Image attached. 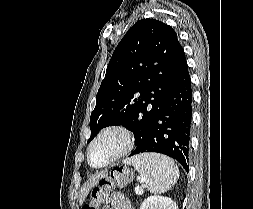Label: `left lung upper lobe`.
Wrapping results in <instances>:
<instances>
[{
    "instance_id": "left-lung-upper-lobe-1",
    "label": "left lung upper lobe",
    "mask_w": 253,
    "mask_h": 209,
    "mask_svg": "<svg viewBox=\"0 0 253 209\" xmlns=\"http://www.w3.org/2000/svg\"><path fill=\"white\" fill-rule=\"evenodd\" d=\"M185 61L172 27L155 19L136 22L109 61L91 113L88 143L102 128L123 125L133 132L138 150Z\"/></svg>"
}]
</instances>
